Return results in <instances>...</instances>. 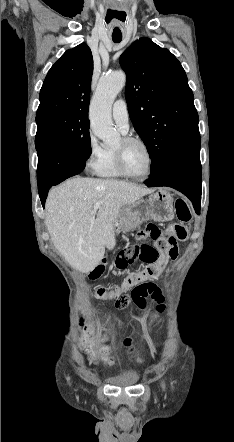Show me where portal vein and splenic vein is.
Here are the masks:
<instances>
[{
	"label": "portal vein and splenic vein",
	"mask_w": 234,
	"mask_h": 442,
	"mask_svg": "<svg viewBox=\"0 0 234 442\" xmlns=\"http://www.w3.org/2000/svg\"><path fill=\"white\" fill-rule=\"evenodd\" d=\"M100 205H101V202H97V203L94 204V206H93V213L97 212V210L99 209Z\"/></svg>",
	"instance_id": "18ae733b"
}]
</instances>
